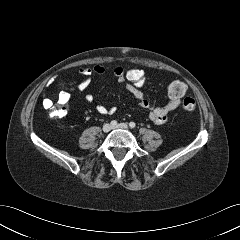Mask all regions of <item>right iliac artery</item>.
<instances>
[{
  "label": "right iliac artery",
  "instance_id": "right-iliac-artery-1",
  "mask_svg": "<svg viewBox=\"0 0 240 240\" xmlns=\"http://www.w3.org/2000/svg\"><path fill=\"white\" fill-rule=\"evenodd\" d=\"M111 125H112V126L117 125V121H116V120L111 121Z\"/></svg>",
  "mask_w": 240,
  "mask_h": 240
}]
</instances>
